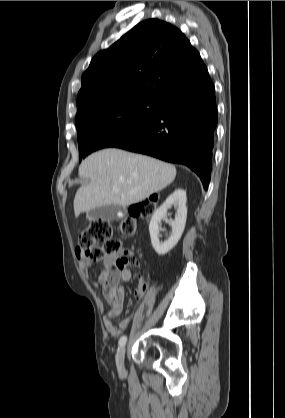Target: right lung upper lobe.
<instances>
[{"mask_svg":"<svg viewBox=\"0 0 285 418\" xmlns=\"http://www.w3.org/2000/svg\"><path fill=\"white\" fill-rule=\"evenodd\" d=\"M207 73L200 54L177 27L158 19L143 21L92 59L82 76L76 123L115 105L160 104Z\"/></svg>","mask_w":285,"mask_h":418,"instance_id":"right-lung-upper-lobe-1","label":"right lung upper lobe"}]
</instances>
